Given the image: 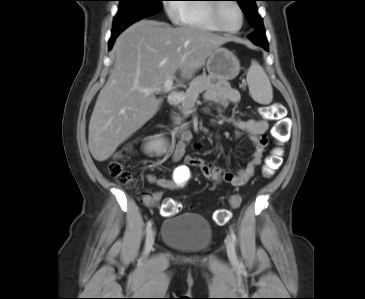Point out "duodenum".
<instances>
[{"label": "duodenum", "mask_w": 365, "mask_h": 299, "mask_svg": "<svg viewBox=\"0 0 365 299\" xmlns=\"http://www.w3.org/2000/svg\"><path fill=\"white\" fill-rule=\"evenodd\" d=\"M183 97V91H175L171 93L168 97V102L170 105H178Z\"/></svg>", "instance_id": "410a0bca"}]
</instances>
